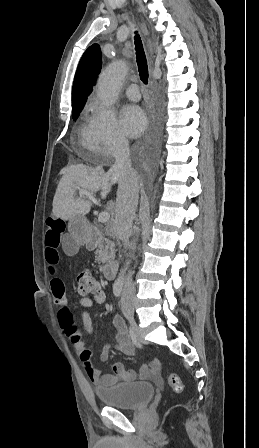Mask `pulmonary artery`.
Instances as JSON below:
<instances>
[{"label": "pulmonary artery", "mask_w": 259, "mask_h": 448, "mask_svg": "<svg viewBox=\"0 0 259 448\" xmlns=\"http://www.w3.org/2000/svg\"><path fill=\"white\" fill-rule=\"evenodd\" d=\"M117 65L122 72H127L128 70V62L126 60H120L117 62ZM138 89V86L136 84H130L127 87H124L122 91L127 95V97L133 101H138L141 97V95L138 92H135V90Z\"/></svg>", "instance_id": "obj_1"}]
</instances>
